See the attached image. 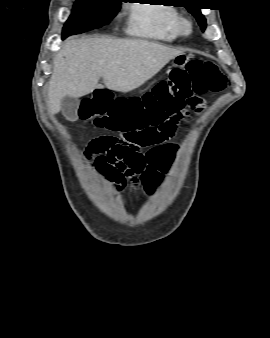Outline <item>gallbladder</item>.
<instances>
[{"mask_svg":"<svg viewBox=\"0 0 270 338\" xmlns=\"http://www.w3.org/2000/svg\"><path fill=\"white\" fill-rule=\"evenodd\" d=\"M80 105L78 98L64 97L61 100V108L63 115L70 119L75 120L77 118V111Z\"/></svg>","mask_w":270,"mask_h":338,"instance_id":"bac80fb5","label":"gallbladder"}]
</instances>
